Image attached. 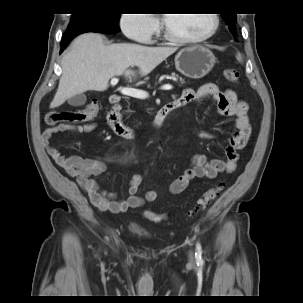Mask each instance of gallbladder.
Returning a JSON list of instances; mask_svg holds the SVG:
<instances>
[{"instance_id": "gallbladder-1", "label": "gallbladder", "mask_w": 303, "mask_h": 303, "mask_svg": "<svg viewBox=\"0 0 303 303\" xmlns=\"http://www.w3.org/2000/svg\"><path fill=\"white\" fill-rule=\"evenodd\" d=\"M86 95L85 94H77L71 98L68 99V103L71 105V106H82L86 103Z\"/></svg>"}]
</instances>
